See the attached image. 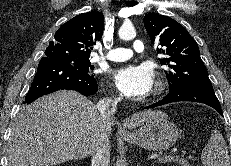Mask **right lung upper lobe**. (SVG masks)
Wrapping results in <instances>:
<instances>
[{"instance_id":"right-lung-upper-lobe-1","label":"right lung upper lobe","mask_w":231,"mask_h":166,"mask_svg":"<svg viewBox=\"0 0 231 166\" xmlns=\"http://www.w3.org/2000/svg\"><path fill=\"white\" fill-rule=\"evenodd\" d=\"M104 16L101 12L79 14L64 23L49 42L45 57L89 59L92 46L103 34Z\"/></svg>"}]
</instances>
